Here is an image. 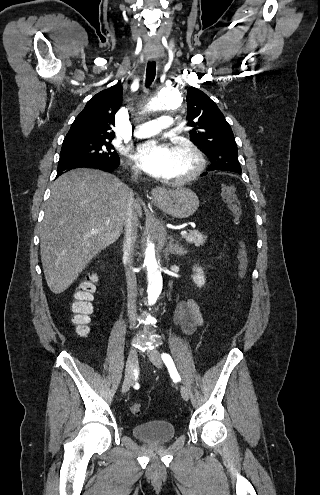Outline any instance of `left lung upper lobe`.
I'll use <instances>...</instances> for the list:
<instances>
[{"mask_svg":"<svg viewBox=\"0 0 320 495\" xmlns=\"http://www.w3.org/2000/svg\"><path fill=\"white\" fill-rule=\"evenodd\" d=\"M190 140L210 159V171L241 174L238 149L232 129L214 101L195 87L187 89Z\"/></svg>","mask_w":320,"mask_h":495,"instance_id":"1","label":"left lung upper lobe"}]
</instances>
